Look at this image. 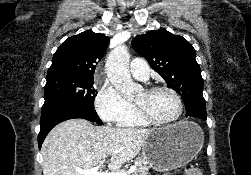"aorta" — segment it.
Wrapping results in <instances>:
<instances>
[{"label":"aorta","mask_w":251,"mask_h":175,"mask_svg":"<svg viewBox=\"0 0 251 175\" xmlns=\"http://www.w3.org/2000/svg\"><path fill=\"white\" fill-rule=\"evenodd\" d=\"M129 60L130 54H128L126 46L120 44L110 52L105 64L109 82L127 97H130L135 89L140 88L139 84H133L132 82L129 72Z\"/></svg>","instance_id":"obj_1"}]
</instances>
